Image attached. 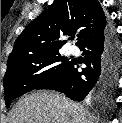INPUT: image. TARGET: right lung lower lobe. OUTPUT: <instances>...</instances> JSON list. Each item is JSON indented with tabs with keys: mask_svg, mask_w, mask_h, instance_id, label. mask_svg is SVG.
I'll return each mask as SVG.
<instances>
[{
	"mask_svg": "<svg viewBox=\"0 0 122 123\" xmlns=\"http://www.w3.org/2000/svg\"><path fill=\"white\" fill-rule=\"evenodd\" d=\"M79 48L84 51L86 68L79 72V65L72 61L62 75L38 89L61 92L74 101L86 97L100 103L108 100L118 78L122 56L114 34L103 27L85 39Z\"/></svg>",
	"mask_w": 122,
	"mask_h": 123,
	"instance_id": "1",
	"label": "right lung lower lobe"
}]
</instances>
